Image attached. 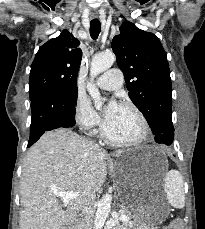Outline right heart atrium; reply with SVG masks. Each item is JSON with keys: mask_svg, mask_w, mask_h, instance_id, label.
Masks as SVG:
<instances>
[{"mask_svg": "<svg viewBox=\"0 0 205 229\" xmlns=\"http://www.w3.org/2000/svg\"><path fill=\"white\" fill-rule=\"evenodd\" d=\"M74 119L84 130L93 131L101 123L97 112L92 108L89 101L82 96L76 98L74 104Z\"/></svg>", "mask_w": 205, "mask_h": 229, "instance_id": "1", "label": "right heart atrium"}]
</instances>
